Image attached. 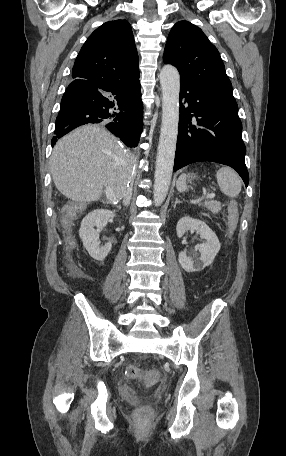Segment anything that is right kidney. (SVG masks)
<instances>
[{"label": "right kidney", "instance_id": "right-kidney-1", "mask_svg": "<svg viewBox=\"0 0 286 456\" xmlns=\"http://www.w3.org/2000/svg\"><path fill=\"white\" fill-rule=\"evenodd\" d=\"M115 217V212L107 209H96L86 215L79 229V236L89 255L97 261H103L112 248V243L108 242L104 246H99L98 229L104 228L108 221Z\"/></svg>", "mask_w": 286, "mask_h": 456}]
</instances>
